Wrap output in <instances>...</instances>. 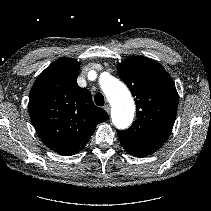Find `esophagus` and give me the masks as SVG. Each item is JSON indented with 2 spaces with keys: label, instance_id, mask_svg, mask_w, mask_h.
<instances>
[{
  "label": "esophagus",
  "instance_id": "esophagus-1",
  "mask_svg": "<svg viewBox=\"0 0 211 211\" xmlns=\"http://www.w3.org/2000/svg\"><path fill=\"white\" fill-rule=\"evenodd\" d=\"M104 110L109 114L110 113V106L105 105Z\"/></svg>",
  "mask_w": 211,
  "mask_h": 211
}]
</instances>
